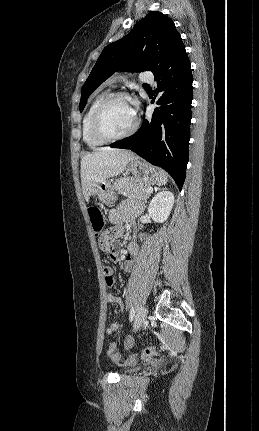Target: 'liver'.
Returning a JSON list of instances; mask_svg holds the SVG:
<instances>
[{"label":"liver","mask_w":259,"mask_h":431,"mask_svg":"<svg viewBox=\"0 0 259 431\" xmlns=\"http://www.w3.org/2000/svg\"><path fill=\"white\" fill-rule=\"evenodd\" d=\"M138 157L131 151L109 147L99 148L81 159V184L86 201L98 186L108 178L121 174L128 163Z\"/></svg>","instance_id":"liver-1"}]
</instances>
